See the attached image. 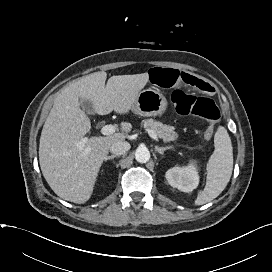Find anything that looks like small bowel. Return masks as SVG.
<instances>
[{
	"mask_svg": "<svg viewBox=\"0 0 272 272\" xmlns=\"http://www.w3.org/2000/svg\"><path fill=\"white\" fill-rule=\"evenodd\" d=\"M149 78L153 84L162 88L185 86L203 92H209L213 88L195 76L172 68H153L149 72Z\"/></svg>",
	"mask_w": 272,
	"mask_h": 272,
	"instance_id": "1",
	"label": "small bowel"
}]
</instances>
